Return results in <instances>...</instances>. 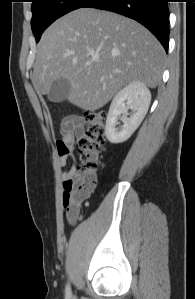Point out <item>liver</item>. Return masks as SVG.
Segmentation results:
<instances>
[{
	"label": "liver",
	"instance_id": "obj_1",
	"mask_svg": "<svg viewBox=\"0 0 195 299\" xmlns=\"http://www.w3.org/2000/svg\"><path fill=\"white\" fill-rule=\"evenodd\" d=\"M164 60L160 42L138 22L109 11L79 8L43 33L31 80L42 95L49 93L54 81L68 80V101L93 112L131 82L155 88Z\"/></svg>",
	"mask_w": 195,
	"mask_h": 299
}]
</instances>
